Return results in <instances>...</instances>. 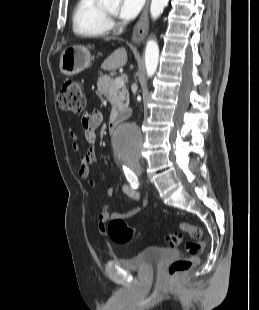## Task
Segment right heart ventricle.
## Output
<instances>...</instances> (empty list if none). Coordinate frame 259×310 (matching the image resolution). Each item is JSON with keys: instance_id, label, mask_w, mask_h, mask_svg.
I'll return each mask as SVG.
<instances>
[{"instance_id": "e07e8e85", "label": "right heart ventricle", "mask_w": 259, "mask_h": 310, "mask_svg": "<svg viewBox=\"0 0 259 310\" xmlns=\"http://www.w3.org/2000/svg\"><path fill=\"white\" fill-rule=\"evenodd\" d=\"M73 29L78 35L97 37L108 33L109 20L98 0H78L73 12Z\"/></svg>"}]
</instances>
